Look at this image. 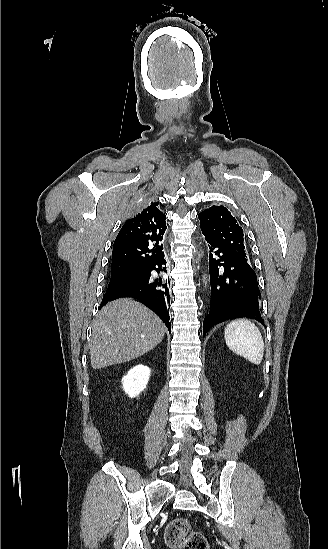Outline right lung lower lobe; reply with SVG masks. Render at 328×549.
<instances>
[{
    "mask_svg": "<svg viewBox=\"0 0 328 549\" xmlns=\"http://www.w3.org/2000/svg\"><path fill=\"white\" fill-rule=\"evenodd\" d=\"M166 260L164 254L155 261L147 270L143 277L132 280L107 290L104 295L100 308L108 301L120 297H134L154 311L165 323L168 330H171L170 316L167 308L170 305V295L168 283L162 278L163 273L167 272L164 265ZM157 274H153V272ZM161 274L160 276H158ZM169 281V278H168Z\"/></svg>",
    "mask_w": 328,
    "mask_h": 549,
    "instance_id": "right-lung-lower-lobe-1",
    "label": "right lung lower lobe"
}]
</instances>
